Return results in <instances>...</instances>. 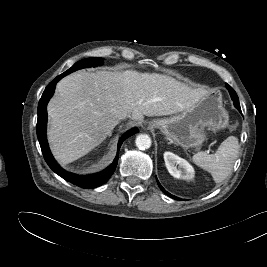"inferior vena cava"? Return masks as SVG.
<instances>
[{"label": "inferior vena cava", "mask_w": 267, "mask_h": 267, "mask_svg": "<svg viewBox=\"0 0 267 267\" xmlns=\"http://www.w3.org/2000/svg\"><path fill=\"white\" fill-rule=\"evenodd\" d=\"M127 115H120L119 119H124Z\"/></svg>", "instance_id": "obj_1"}]
</instances>
